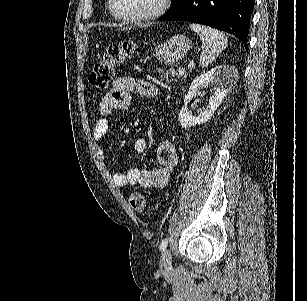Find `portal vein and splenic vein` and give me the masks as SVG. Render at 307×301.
Returning a JSON list of instances; mask_svg holds the SVG:
<instances>
[{"label": "portal vein and splenic vein", "instance_id": "obj_1", "mask_svg": "<svg viewBox=\"0 0 307 301\" xmlns=\"http://www.w3.org/2000/svg\"><path fill=\"white\" fill-rule=\"evenodd\" d=\"M179 74H185L186 70L185 68H180V70H178Z\"/></svg>", "mask_w": 307, "mask_h": 301}]
</instances>
